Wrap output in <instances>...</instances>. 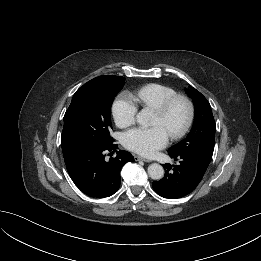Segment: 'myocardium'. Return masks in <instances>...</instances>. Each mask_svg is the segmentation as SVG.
<instances>
[{"label": "myocardium", "instance_id": "myocardium-1", "mask_svg": "<svg viewBox=\"0 0 261 261\" xmlns=\"http://www.w3.org/2000/svg\"><path fill=\"white\" fill-rule=\"evenodd\" d=\"M178 102L184 103L186 106V119L183 125L176 131L172 132L169 136L171 139H179L183 137L188 130L190 129L193 120H194V114H195V108L192 100L187 97L186 95L177 94L171 98H169L167 101H165L160 107L156 108L154 112L159 115L160 117H166L171 109L174 107V105Z\"/></svg>", "mask_w": 261, "mask_h": 261}]
</instances>
